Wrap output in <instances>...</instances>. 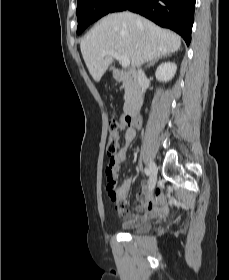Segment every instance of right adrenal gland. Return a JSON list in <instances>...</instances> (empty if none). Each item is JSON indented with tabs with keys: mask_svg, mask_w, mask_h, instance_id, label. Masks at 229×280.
<instances>
[{
	"mask_svg": "<svg viewBox=\"0 0 229 280\" xmlns=\"http://www.w3.org/2000/svg\"><path fill=\"white\" fill-rule=\"evenodd\" d=\"M159 58H160V57H155V58L147 65V67H150V66L154 65V64L158 61Z\"/></svg>",
	"mask_w": 229,
	"mask_h": 280,
	"instance_id": "obj_1",
	"label": "right adrenal gland"
}]
</instances>
